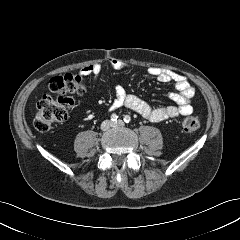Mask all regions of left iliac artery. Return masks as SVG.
Returning a JSON list of instances; mask_svg holds the SVG:
<instances>
[{"label":"left iliac artery","instance_id":"left-iliac-artery-1","mask_svg":"<svg viewBox=\"0 0 240 240\" xmlns=\"http://www.w3.org/2000/svg\"><path fill=\"white\" fill-rule=\"evenodd\" d=\"M123 120L125 123H129L131 121V117L129 115H125Z\"/></svg>","mask_w":240,"mask_h":240}]
</instances>
